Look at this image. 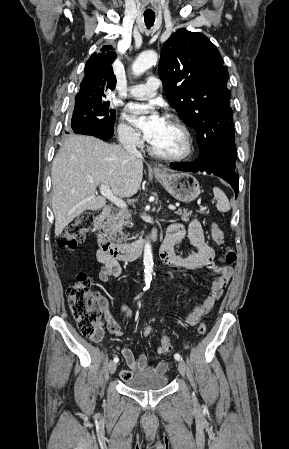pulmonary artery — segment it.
Returning a JSON list of instances; mask_svg holds the SVG:
<instances>
[{
	"mask_svg": "<svg viewBox=\"0 0 289 449\" xmlns=\"http://www.w3.org/2000/svg\"><path fill=\"white\" fill-rule=\"evenodd\" d=\"M161 86L157 77H149L144 84L133 85L128 89V94L138 99H148L156 94Z\"/></svg>",
	"mask_w": 289,
	"mask_h": 449,
	"instance_id": "1",
	"label": "pulmonary artery"
}]
</instances>
